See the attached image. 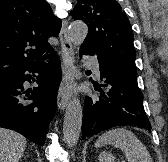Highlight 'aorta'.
I'll use <instances>...</instances> for the list:
<instances>
[{"label":"aorta","instance_id":"762f6f07","mask_svg":"<svg viewBox=\"0 0 168 162\" xmlns=\"http://www.w3.org/2000/svg\"><path fill=\"white\" fill-rule=\"evenodd\" d=\"M88 27L81 21L72 22L69 28L71 42L80 46L86 38ZM83 110L79 99L74 98L68 105L63 123V138L68 147L77 144L82 126Z\"/></svg>","mask_w":168,"mask_h":162}]
</instances>
